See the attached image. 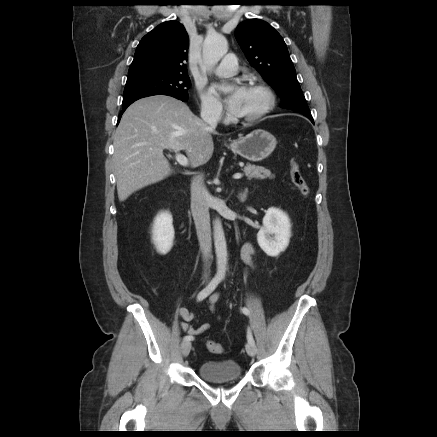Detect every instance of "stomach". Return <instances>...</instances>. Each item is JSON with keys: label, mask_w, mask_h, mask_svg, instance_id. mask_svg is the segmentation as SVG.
<instances>
[{"label": "stomach", "mask_w": 437, "mask_h": 437, "mask_svg": "<svg viewBox=\"0 0 437 437\" xmlns=\"http://www.w3.org/2000/svg\"><path fill=\"white\" fill-rule=\"evenodd\" d=\"M276 138L269 132L257 129L230 143L233 153L251 161L259 162L266 159L275 149Z\"/></svg>", "instance_id": "stomach-1"}]
</instances>
